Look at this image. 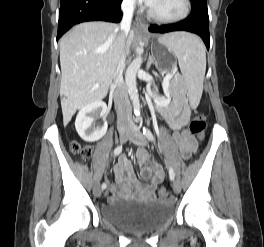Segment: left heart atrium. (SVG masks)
Listing matches in <instances>:
<instances>
[{"label":"left heart atrium","instance_id":"39dd6f15","mask_svg":"<svg viewBox=\"0 0 264 247\" xmlns=\"http://www.w3.org/2000/svg\"><path fill=\"white\" fill-rule=\"evenodd\" d=\"M142 1H144L150 7H153L157 3L158 0H142Z\"/></svg>","mask_w":264,"mask_h":247}]
</instances>
